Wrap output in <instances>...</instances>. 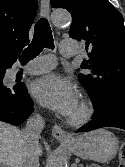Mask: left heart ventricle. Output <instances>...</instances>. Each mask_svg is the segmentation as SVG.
Masks as SVG:
<instances>
[{
    "mask_svg": "<svg viewBox=\"0 0 125 167\" xmlns=\"http://www.w3.org/2000/svg\"><path fill=\"white\" fill-rule=\"evenodd\" d=\"M78 112H79V104L76 106V108L74 109L71 115H76L78 114Z\"/></svg>",
    "mask_w": 125,
    "mask_h": 167,
    "instance_id": "1",
    "label": "left heart ventricle"
}]
</instances>
